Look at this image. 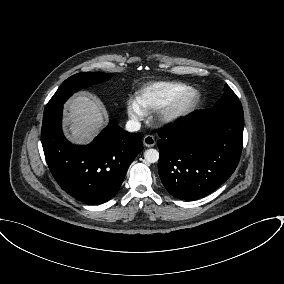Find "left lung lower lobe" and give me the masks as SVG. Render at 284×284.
Returning <instances> with one entry per match:
<instances>
[{"label":"left lung lower lobe","mask_w":284,"mask_h":284,"mask_svg":"<svg viewBox=\"0 0 284 284\" xmlns=\"http://www.w3.org/2000/svg\"><path fill=\"white\" fill-rule=\"evenodd\" d=\"M243 128V110L214 107L158 130V172L166 190L187 201L216 190L238 165Z\"/></svg>","instance_id":"obj_1"}]
</instances>
